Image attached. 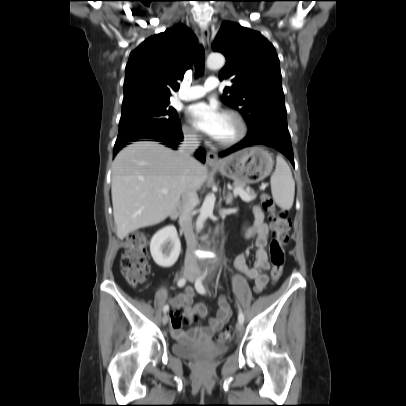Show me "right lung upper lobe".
I'll return each mask as SVG.
<instances>
[{"mask_svg": "<svg viewBox=\"0 0 406 406\" xmlns=\"http://www.w3.org/2000/svg\"><path fill=\"white\" fill-rule=\"evenodd\" d=\"M197 38L184 25L146 39L131 52L125 69L122 107L143 101H169L178 79L191 68Z\"/></svg>", "mask_w": 406, "mask_h": 406, "instance_id": "cb5924a9", "label": "right lung upper lobe"}]
</instances>
